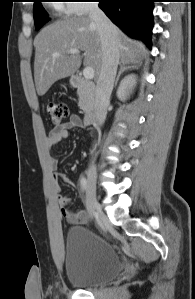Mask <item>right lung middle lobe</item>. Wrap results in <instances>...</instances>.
<instances>
[{
  "label": "right lung middle lobe",
  "mask_w": 195,
  "mask_h": 299,
  "mask_svg": "<svg viewBox=\"0 0 195 299\" xmlns=\"http://www.w3.org/2000/svg\"><path fill=\"white\" fill-rule=\"evenodd\" d=\"M41 1L34 0V22L36 30H39L48 21V16L41 5Z\"/></svg>",
  "instance_id": "dd1d6c3e"
}]
</instances>
